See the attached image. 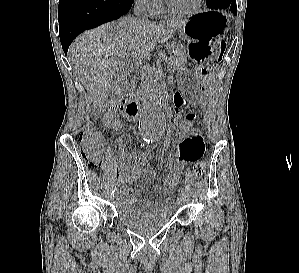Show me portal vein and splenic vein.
Instances as JSON below:
<instances>
[{"instance_id": "portal-vein-and-splenic-vein-1", "label": "portal vein and splenic vein", "mask_w": 299, "mask_h": 273, "mask_svg": "<svg viewBox=\"0 0 299 273\" xmlns=\"http://www.w3.org/2000/svg\"><path fill=\"white\" fill-rule=\"evenodd\" d=\"M117 56H118V57H122V58L125 57L122 53H117Z\"/></svg>"}]
</instances>
